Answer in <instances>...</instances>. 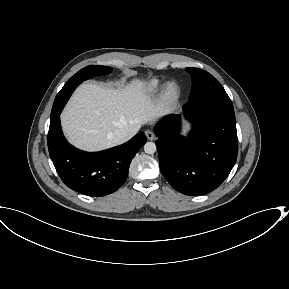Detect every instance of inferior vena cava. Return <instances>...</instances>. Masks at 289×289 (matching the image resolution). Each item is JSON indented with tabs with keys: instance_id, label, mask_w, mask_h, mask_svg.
Masks as SVG:
<instances>
[{
	"instance_id": "obj_1",
	"label": "inferior vena cava",
	"mask_w": 289,
	"mask_h": 289,
	"mask_svg": "<svg viewBox=\"0 0 289 289\" xmlns=\"http://www.w3.org/2000/svg\"><path fill=\"white\" fill-rule=\"evenodd\" d=\"M109 138L115 143V144H121L126 142L130 135L129 133L124 129H117L113 133L109 134Z\"/></svg>"
}]
</instances>
